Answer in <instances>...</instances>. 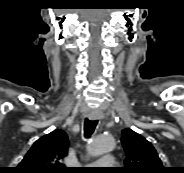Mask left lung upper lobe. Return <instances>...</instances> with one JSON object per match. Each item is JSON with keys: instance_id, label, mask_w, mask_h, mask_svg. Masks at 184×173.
Returning a JSON list of instances; mask_svg holds the SVG:
<instances>
[{"instance_id": "1", "label": "left lung upper lobe", "mask_w": 184, "mask_h": 173, "mask_svg": "<svg viewBox=\"0 0 184 173\" xmlns=\"http://www.w3.org/2000/svg\"><path fill=\"white\" fill-rule=\"evenodd\" d=\"M121 142L126 155L121 173H165L156 150L140 134L124 129Z\"/></svg>"}]
</instances>
